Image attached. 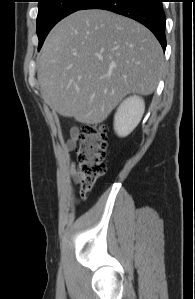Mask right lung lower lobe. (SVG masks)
I'll list each match as a JSON object with an SVG mask.
<instances>
[{
    "label": "right lung lower lobe",
    "mask_w": 195,
    "mask_h": 299,
    "mask_svg": "<svg viewBox=\"0 0 195 299\" xmlns=\"http://www.w3.org/2000/svg\"><path fill=\"white\" fill-rule=\"evenodd\" d=\"M103 9L132 18L150 29L166 48L162 0H88L79 10Z\"/></svg>",
    "instance_id": "98d812e1"
}]
</instances>
